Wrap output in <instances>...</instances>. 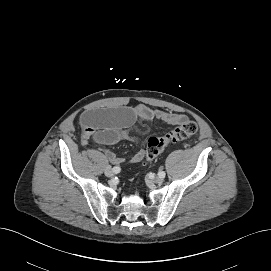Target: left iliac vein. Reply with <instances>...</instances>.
Masks as SVG:
<instances>
[{"label":"left iliac vein","mask_w":271,"mask_h":271,"mask_svg":"<svg viewBox=\"0 0 271 271\" xmlns=\"http://www.w3.org/2000/svg\"><path fill=\"white\" fill-rule=\"evenodd\" d=\"M163 178L162 177H160V176H157V177H155L154 179H153V181L155 182V183H157V184H161L162 182H163Z\"/></svg>","instance_id":"4c4485c4"}]
</instances>
